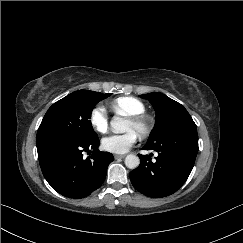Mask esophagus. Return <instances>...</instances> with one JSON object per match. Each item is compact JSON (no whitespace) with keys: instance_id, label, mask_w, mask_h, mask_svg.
<instances>
[{"instance_id":"1","label":"esophagus","mask_w":243,"mask_h":243,"mask_svg":"<svg viewBox=\"0 0 243 243\" xmlns=\"http://www.w3.org/2000/svg\"><path fill=\"white\" fill-rule=\"evenodd\" d=\"M124 157H125V155H117V154L114 155L115 159H120V158H124Z\"/></svg>"}]
</instances>
